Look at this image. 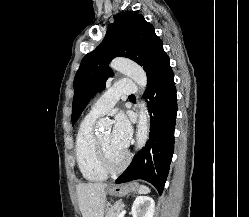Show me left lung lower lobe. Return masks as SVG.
Masks as SVG:
<instances>
[{"mask_svg":"<svg viewBox=\"0 0 249 217\" xmlns=\"http://www.w3.org/2000/svg\"><path fill=\"white\" fill-rule=\"evenodd\" d=\"M145 96L149 99L151 112L149 140L116 183L142 179L162 194L173 155L177 114L176 88L169 57L162 61L148 82Z\"/></svg>","mask_w":249,"mask_h":217,"instance_id":"obj_1","label":"left lung lower lobe"}]
</instances>
